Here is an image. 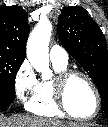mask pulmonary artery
Returning a JSON list of instances; mask_svg holds the SVG:
<instances>
[{"label":"pulmonary artery","mask_w":108,"mask_h":127,"mask_svg":"<svg viewBox=\"0 0 108 127\" xmlns=\"http://www.w3.org/2000/svg\"><path fill=\"white\" fill-rule=\"evenodd\" d=\"M49 55L52 63L67 64L68 62V53L58 45L51 47Z\"/></svg>","instance_id":"obj_1"}]
</instances>
